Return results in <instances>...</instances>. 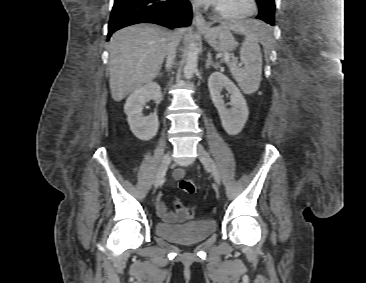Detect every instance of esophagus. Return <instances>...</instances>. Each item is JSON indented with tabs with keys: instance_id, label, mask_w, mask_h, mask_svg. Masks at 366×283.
Masks as SVG:
<instances>
[{
	"instance_id": "obj_1",
	"label": "esophagus",
	"mask_w": 366,
	"mask_h": 283,
	"mask_svg": "<svg viewBox=\"0 0 366 283\" xmlns=\"http://www.w3.org/2000/svg\"><path fill=\"white\" fill-rule=\"evenodd\" d=\"M193 11H194V25L196 26V28L201 31L209 30V25L205 21L203 15L197 9H195V7H193Z\"/></svg>"
}]
</instances>
